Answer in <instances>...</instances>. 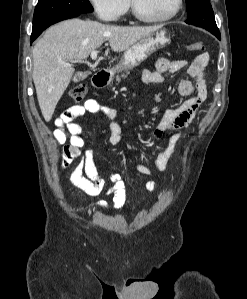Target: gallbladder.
Masks as SVG:
<instances>
[{"mask_svg": "<svg viewBox=\"0 0 247 299\" xmlns=\"http://www.w3.org/2000/svg\"><path fill=\"white\" fill-rule=\"evenodd\" d=\"M78 79H80L79 76H76V77L74 78L75 81H77Z\"/></svg>", "mask_w": 247, "mask_h": 299, "instance_id": "1", "label": "gallbladder"}]
</instances>
